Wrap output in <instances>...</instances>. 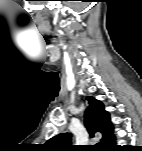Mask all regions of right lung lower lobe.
<instances>
[{"label":"right lung lower lobe","instance_id":"1","mask_svg":"<svg viewBox=\"0 0 142 151\" xmlns=\"http://www.w3.org/2000/svg\"><path fill=\"white\" fill-rule=\"evenodd\" d=\"M108 149H110V150H119V148L118 147H116L115 145H111Z\"/></svg>","mask_w":142,"mask_h":151}]
</instances>
